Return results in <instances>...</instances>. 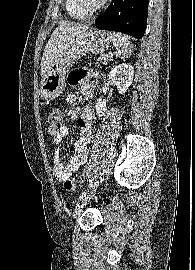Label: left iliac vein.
Instances as JSON below:
<instances>
[{"mask_svg": "<svg viewBox=\"0 0 195 270\" xmlns=\"http://www.w3.org/2000/svg\"><path fill=\"white\" fill-rule=\"evenodd\" d=\"M92 195L85 196L75 207L73 217L76 219L82 212L83 208L87 204L88 200Z\"/></svg>", "mask_w": 195, "mask_h": 270, "instance_id": "left-iliac-vein-1", "label": "left iliac vein"}]
</instances>
